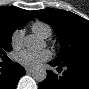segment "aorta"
Returning a JSON list of instances; mask_svg holds the SVG:
<instances>
[{
	"mask_svg": "<svg viewBox=\"0 0 89 89\" xmlns=\"http://www.w3.org/2000/svg\"><path fill=\"white\" fill-rule=\"evenodd\" d=\"M24 45L30 51H38L44 48L45 43L36 35L30 34L25 37ZM46 76L47 72L43 67H38L32 72V78L37 82L44 81Z\"/></svg>",
	"mask_w": 89,
	"mask_h": 89,
	"instance_id": "obj_1",
	"label": "aorta"
}]
</instances>
